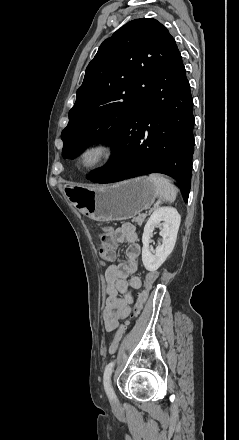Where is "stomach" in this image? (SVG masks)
I'll return each mask as SVG.
<instances>
[{
  "instance_id": "stomach-1",
  "label": "stomach",
  "mask_w": 239,
  "mask_h": 440,
  "mask_svg": "<svg viewBox=\"0 0 239 440\" xmlns=\"http://www.w3.org/2000/svg\"><path fill=\"white\" fill-rule=\"evenodd\" d=\"M72 192L77 210L95 222L129 220L150 208L157 198L156 186L147 176L112 186H72Z\"/></svg>"
}]
</instances>
